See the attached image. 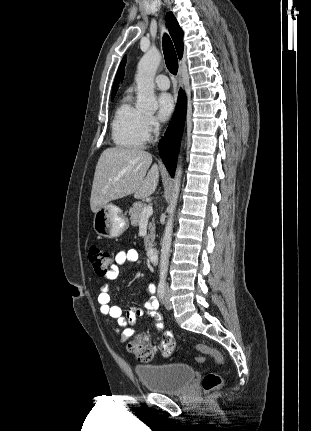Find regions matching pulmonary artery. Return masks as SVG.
I'll return each instance as SVG.
<instances>
[{"mask_svg":"<svg viewBox=\"0 0 311 431\" xmlns=\"http://www.w3.org/2000/svg\"><path fill=\"white\" fill-rule=\"evenodd\" d=\"M155 81L160 90H168L170 88V81L164 74L157 75Z\"/></svg>","mask_w":311,"mask_h":431,"instance_id":"e3ab8cb5","label":"pulmonary artery"}]
</instances>
